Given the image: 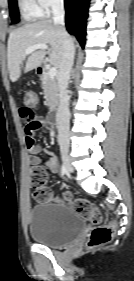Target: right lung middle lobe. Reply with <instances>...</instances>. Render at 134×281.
<instances>
[{
  "label": "right lung middle lobe",
  "instance_id": "right-lung-middle-lobe-1",
  "mask_svg": "<svg viewBox=\"0 0 134 281\" xmlns=\"http://www.w3.org/2000/svg\"><path fill=\"white\" fill-rule=\"evenodd\" d=\"M10 15L13 23L19 22V12L16 0H9Z\"/></svg>",
  "mask_w": 134,
  "mask_h": 281
}]
</instances>
